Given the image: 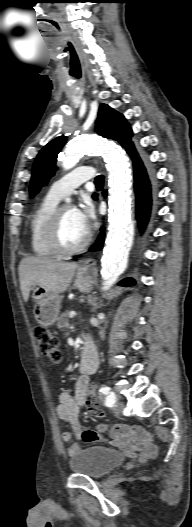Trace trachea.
<instances>
[{
	"label": "trachea",
	"mask_w": 192,
	"mask_h": 527,
	"mask_svg": "<svg viewBox=\"0 0 192 527\" xmlns=\"http://www.w3.org/2000/svg\"><path fill=\"white\" fill-rule=\"evenodd\" d=\"M103 182H104V177L102 175H99V176L96 177L95 184L97 186H102Z\"/></svg>",
	"instance_id": "trachea-1"
}]
</instances>
